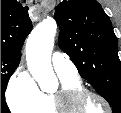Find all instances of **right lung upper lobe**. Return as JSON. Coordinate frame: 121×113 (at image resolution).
<instances>
[{
  "instance_id": "right-lung-upper-lobe-1",
  "label": "right lung upper lobe",
  "mask_w": 121,
  "mask_h": 113,
  "mask_svg": "<svg viewBox=\"0 0 121 113\" xmlns=\"http://www.w3.org/2000/svg\"><path fill=\"white\" fill-rule=\"evenodd\" d=\"M31 29L27 6L22 7L17 0H1V54L20 59Z\"/></svg>"
}]
</instances>
